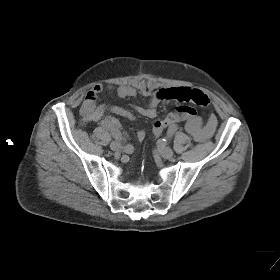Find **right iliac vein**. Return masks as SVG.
Wrapping results in <instances>:
<instances>
[{
  "instance_id": "63e3f726",
  "label": "right iliac vein",
  "mask_w": 280,
  "mask_h": 280,
  "mask_svg": "<svg viewBox=\"0 0 280 280\" xmlns=\"http://www.w3.org/2000/svg\"><path fill=\"white\" fill-rule=\"evenodd\" d=\"M110 149L113 150V151H118V150L121 149V145H120L119 142L113 141V142H111V144H110Z\"/></svg>"
}]
</instances>
